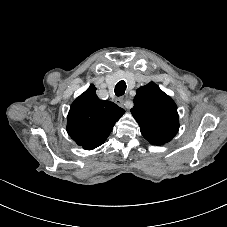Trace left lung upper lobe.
Here are the masks:
<instances>
[{
	"mask_svg": "<svg viewBox=\"0 0 227 227\" xmlns=\"http://www.w3.org/2000/svg\"><path fill=\"white\" fill-rule=\"evenodd\" d=\"M134 98L131 112L143 136L159 142L172 140L179 129L177 106L154 82L140 87Z\"/></svg>",
	"mask_w": 227,
	"mask_h": 227,
	"instance_id": "1",
	"label": "left lung upper lobe"
}]
</instances>
